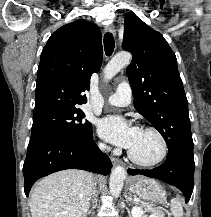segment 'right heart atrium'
<instances>
[{
    "label": "right heart atrium",
    "mask_w": 211,
    "mask_h": 217,
    "mask_svg": "<svg viewBox=\"0 0 211 217\" xmlns=\"http://www.w3.org/2000/svg\"><path fill=\"white\" fill-rule=\"evenodd\" d=\"M99 146L103 150H107L108 149V147L105 144H103V143H100Z\"/></svg>",
    "instance_id": "right-heart-atrium-1"
}]
</instances>
